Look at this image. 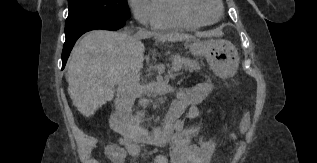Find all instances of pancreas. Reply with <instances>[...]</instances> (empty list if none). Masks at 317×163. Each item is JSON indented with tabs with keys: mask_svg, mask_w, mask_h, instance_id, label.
I'll list each match as a JSON object with an SVG mask.
<instances>
[{
	"mask_svg": "<svg viewBox=\"0 0 317 163\" xmlns=\"http://www.w3.org/2000/svg\"><path fill=\"white\" fill-rule=\"evenodd\" d=\"M173 64L179 65L181 68L188 70L190 72L198 71L201 68V65L196 60H192L190 58L180 57L179 55L174 56ZM143 117V113L139 112L134 120L136 122H140Z\"/></svg>",
	"mask_w": 317,
	"mask_h": 163,
	"instance_id": "cf45deb5",
	"label": "pancreas"
}]
</instances>
